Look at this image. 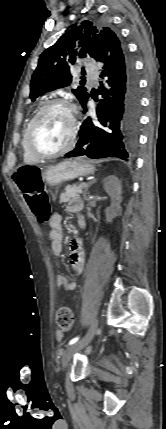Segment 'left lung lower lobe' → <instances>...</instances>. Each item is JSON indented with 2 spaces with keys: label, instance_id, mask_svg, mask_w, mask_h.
<instances>
[{
  "label": "left lung lower lobe",
  "instance_id": "1",
  "mask_svg": "<svg viewBox=\"0 0 166 429\" xmlns=\"http://www.w3.org/2000/svg\"><path fill=\"white\" fill-rule=\"evenodd\" d=\"M113 40L98 43L95 60L102 66L100 77L107 80L98 89L102 98L96 115L84 120L76 147L67 157L114 156L128 161L136 149L140 119L138 78L126 46L119 37ZM88 98L82 104L84 113Z\"/></svg>",
  "mask_w": 166,
  "mask_h": 429
}]
</instances>
